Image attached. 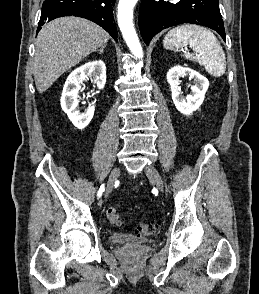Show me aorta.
Returning a JSON list of instances; mask_svg holds the SVG:
<instances>
[{
	"mask_svg": "<svg viewBox=\"0 0 259 294\" xmlns=\"http://www.w3.org/2000/svg\"><path fill=\"white\" fill-rule=\"evenodd\" d=\"M138 0H119L118 25L127 46L135 58L143 57V50L133 25V9Z\"/></svg>",
	"mask_w": 259,
	"mask_h": 294,
	"instance_id": "762f6f07",
	"label": "aorta"
}]
</instances>
